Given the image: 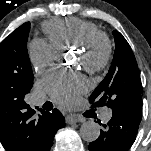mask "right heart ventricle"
I'll return each mask as SVG.
<instances>
[{
	"instance_id": "obj_1",
	"label": "right heart ventricle",
	"mask_w": 151,
	"mask_h": 151,
	"mask_svg": "<svg viewBox=\"0 0 151 151\" xmlns=\"http://www.w3.org/2000/svg\"><path fill=\"white\" fill-rule=\"evenodd\" d=\"M43 30L59 49L79 46L90 35L99 32L94 23L78 18L47 21L43 25Z\"/></svg>"
}]
</instances>
